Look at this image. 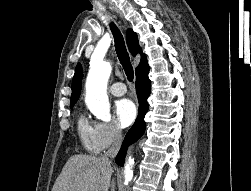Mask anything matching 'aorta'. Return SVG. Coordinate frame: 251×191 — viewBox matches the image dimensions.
<instances>
[{"instance_id": "762f6f07", "label": "aorta", "mask_w": 251, "mask_h": 191, "mask_svg": "<svg viewBox=\"0 0 251 191\" xmlns=\"http://www.w3.org/2000/svg\"><path fill=\"white\" fill-rule=\"evenodd\" d=\"M102 56L98 58L96 54L91 56L90 70L86 80V96L85 101L91 113H94L98 119L109 121L111 119L110 103L106 94L107 82L111 74L112 66L109 62H103ZM133 157H128L125 163L124 177L125 185L132 179L133 175Z\"/></svg>"}]
</instances>
